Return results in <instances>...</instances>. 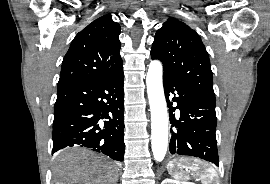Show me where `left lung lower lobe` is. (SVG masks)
<instances>
[{
  "mask_svg": "<svg viewBox=\"0 0 270 184\" xmlns=\"http://www.w3.org/2000/svg\"><path fill=\"white\" fill-rule=\"evenodd\" d=\"M167 102L171 94L177 96L168 103L171 126L169 151L174 156H192L219 166L216 142V102L208 98L188 81L163 73ZM173 102L177 103L172 107ZM179 109L180 117L173 112Z\"/></svg>",
  "mask_w": 270,
  "mask_h": 184,
  "instance_id": "obj_1",
  "label": "left lung lower lobe"
}]
</instances>
